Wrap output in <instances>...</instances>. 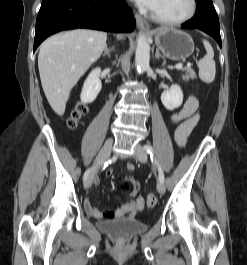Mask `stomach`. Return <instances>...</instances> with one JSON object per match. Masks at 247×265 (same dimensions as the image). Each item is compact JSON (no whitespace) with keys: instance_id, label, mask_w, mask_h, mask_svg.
<instances>
[{"instance_id":"stomach-1","label":"stomach","mask_w":247,"mask_h":265,"mask_svg":"<svg viewBox=\"0 0 247 265\" xmlns=\"http://www.w3.org/2000/svg\"><path fill=\"white\" fill-rule=\"evenodd\" d=\"M153 34L158 49L172 61L184 60L194 52L193 39L184 31L162 27L153 31Z\"/></svg>"}]
</instances>
